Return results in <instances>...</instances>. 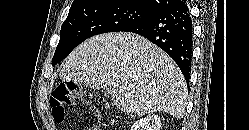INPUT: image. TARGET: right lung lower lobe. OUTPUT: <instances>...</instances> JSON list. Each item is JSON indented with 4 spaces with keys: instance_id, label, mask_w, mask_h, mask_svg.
<instances>
[{
    "instance_id": "obj_1",
    "label": "right lung lower lobe",
    "mask_w": 249,
    "mask_h": 130,
    "mask_svg": "<svg viewBox=\"0 0 249 130\" xmlns=\"http://www.w3.org/2000/svg\"><path fill=\"white\" fill-rule=\"evenodd\" d=\"M123 31L140 34L159 46L173 58L186 82H189L193 28L189 8L184 1L177 0L150 19Z\"/></svg>"
}]
</instances>
